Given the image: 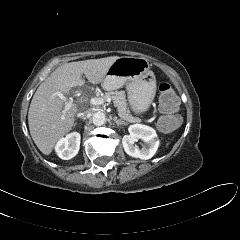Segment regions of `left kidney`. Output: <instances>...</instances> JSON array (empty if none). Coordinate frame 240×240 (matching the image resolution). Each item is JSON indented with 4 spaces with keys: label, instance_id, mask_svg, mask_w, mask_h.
Instances as JSON below:
<instances>
[{
    "label": "left kidney",
    "instance_id": "1",
    "mask_svg": "<svg viewBox=\"0 0 240 240\" xmlns=\"http://www.w3.org/2000/svg\"><path fill=\"white\" fill-rule=\"evenodd\" d=\"M129 135H125L122 144L125 152L132 157L148 160L154 156L158 147L159 139L156 131L146 125L134 124L128 128ZM142 139L145 142L143 148L139 149L134 143Z\"/></svg>",
    "mask_w": 240,
    "mask_h": 240
}]
</instances>
